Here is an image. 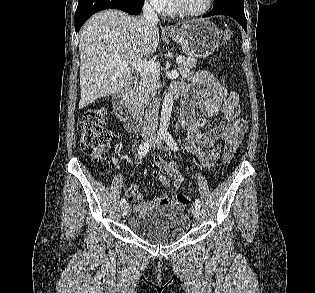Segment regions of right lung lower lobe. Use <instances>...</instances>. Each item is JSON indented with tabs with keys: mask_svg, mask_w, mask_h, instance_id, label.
Returning a JSON list of instances; mask_svg holds the SVG:
<instances>
[{
	"mask_svg": "<svg viewBox=\"0 0 315 293\" xmlns=\"http://www.w3.org/2000/svg\"><path fill=\"white\" fill-rule=\"evenodd\" d=\"M143 2L144 0H78L75 30L79 31L90 16L104 9L114 8L129 14H138L142 11Z\"/></svg>",
	"mask_w": 315,
	"mask_h": 293,
	"instance_id": "98d812e1",
	"label": "right lung lower lobe"
}]
</instances>
